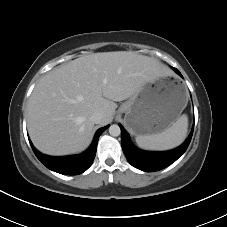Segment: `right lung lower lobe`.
Wrapping results in <instances>:
<instances>
[{
    "label": "right lung lower lobe",
    "mask_w": 227,
    "mask_h": 227,
    "mask_svg": "<svg viewBox=\"0 0 227 227\" xmlns=\"http://www.w3.org/2000/svg\"><path fill=\"white\" fill-rule=\"evenodd\" d=\"M100 128L93 139L91 146L79 155L53 157L38 152L30 141L33 152L48 169L64 175H78L86 171L92 164L95 155L99 136L107 128Z\"/></svg>",
    "instance_id": "98d812e1"
}]
</instances>
